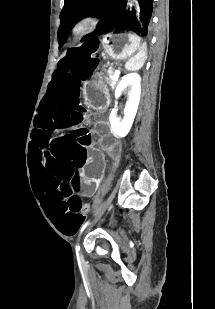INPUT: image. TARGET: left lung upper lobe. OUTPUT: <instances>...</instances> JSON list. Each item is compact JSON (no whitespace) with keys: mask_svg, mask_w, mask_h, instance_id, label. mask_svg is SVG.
I'll use <instances>...</instances> for the list:
<instances>
[{"mask_svg":"<svg viewBox=\"0 0 215 309\" xmlns=\"http://www.w3.org/2000/svg\"><path fill=\"white\" fill-rule=\"evenodd\" d=\"M153 0H135L130 6L127 0H65L58 30L59 47L63 45L70 29L85 16H100L102 22L95 32L82 41L113 30H130L141 36L149 31Z\"/></svg>","mask_w":215,"mask_h":309,"instance_id":"obj_1","label":"left lung upper lobe"}]
</instances>
